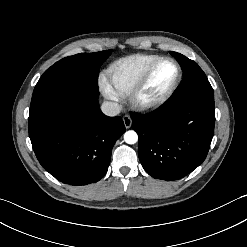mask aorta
Listing matches in <instances>:
<instances>
[{
	"label": "aorta",
	"instance_id": "1",
	"mask_svg": "<svg viewBox=\"0 0 247 247\" xmlns=\"http://www.w3.org/2000/svg\"><path fill=\"white\" fill-rule=\"evenodd\" d=\"M124 141L127 144H135L138 141V135L135 131L129 130L124 134Z\"/></svg>",
	"mask_w": 247,
	"mask_h": 247
}]
</instances>
